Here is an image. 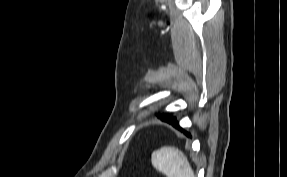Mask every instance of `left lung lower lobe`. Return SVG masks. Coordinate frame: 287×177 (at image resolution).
Wrapping results in <instances>:
<instances>
[{
  "mask_svg": "<svg viewBox=\"0 0 287 177\" xmlns=\"http://www.w3.org/2000/svg\"><path fill=\"white\" fill-rule=\"evenodd\" d=\"M160 119L163 120V121H166V122H168V123H170V124H172L174 127H176V128H178V129H180L181 131H183L185 135H187L188 137H190V134H189L188 132L184 131L182 128H180L179 123H178V122L176 121V119L173 118L172 116L166 115V116H164V117H161Z\"/></svg>",
  "mask_w": 287,
  "mask_h": 177,
  "instance_id": "left-lung-lower-lobe-1",
  "label": "left lung lower lobe"
}]
</instances>
